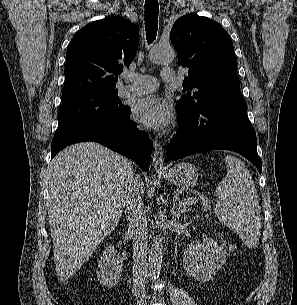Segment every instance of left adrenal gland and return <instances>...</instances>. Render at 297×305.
Returning <instances> with one entry per match:
<instances>
[{
    "mask_svg": "<svg viewBox=\"0 0 297 305\" xmlns=\"http://www.w3.org/2000/svg\"><path fill=\"white\" fill-rule=\"evenodd\" d=\"M176 205H177V199H175L173 203V208H172V215L175 219H179L182 214H184L187 210L186 207L180 208L176 210Z\"/></svg>",
    "mask_w": 297,
    "mask_h": 305,
    "instance_id": "obj_1",
    "label": "left adrenal gland"
}]
</instances>
